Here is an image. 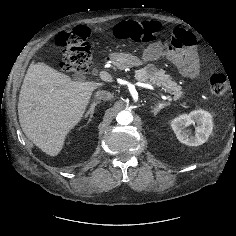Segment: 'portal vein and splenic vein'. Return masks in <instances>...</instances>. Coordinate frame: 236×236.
Wrapping results in <instances>:
<instances>
[{
	"mask_svg": "<svg viewBox=\"0 0 236 236\" xmlns=\"http://www.w3.org/2000/svg\"><path fill=\"white\" fill-rule=\"evenodd\" d=\"M100 75V78L103 80V81H106V82H113V77L106 71H100L99 73ZM169 101H172V98L170 96H167L166 97Z\"/></svg>",
	"mask_w": 236,
	"mask_h": 236,
	"instance_id": "portal-vein-and-splenic-vein-1",
	"label": "portal vein and splenic vein"
}]
</instances>
